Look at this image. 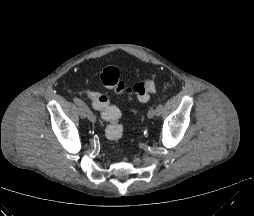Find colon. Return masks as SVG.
Wrapping results in <instances>:
<instances>
[{
	"instance_id": "colon-1",
	"label": "colon",
	"mask_w": 254,
	"mask_h": 216,
	"mask_svg": "<svg viewBox=\"0 0 254 216\" xmlns=\"http://www.w3.org/2000/svg\"><path fill=\"white\" fill-rule=\"evenodd\" d=\"M101 83L104 87L113 90L118 95H124L129 100L138 99L146 102L156 90L155 76L149 75L144 80L133 85H126L120 79V72L114 66H108L101 72ZM94 105L101 111L102 119L107 122L106 137L114 144L118 143L123 135V127L119 122L121 112L115 105L110 104L107 96L91 91L89 93Z\"/></svg>"
}]
</instances>
